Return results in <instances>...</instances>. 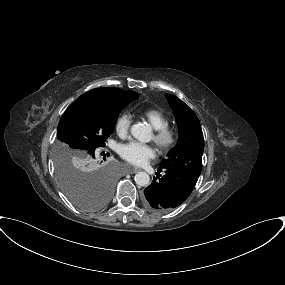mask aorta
I'll return each mask as SVG.
<instances>
[{"mask_svg": "<svg viewBox=\"0 0 285 285\" xmlns=\"http://www.w3.org/2000/svg\"><path fill=\"white\" fill-rule=\"evenodd\" d=\"M131 134L141 142H149L151 139V128L142 123L134 124L131 127ZM149 181L150 176L146 172H138L135 175V182L139 186H146L149 184Z\"/></svg>", "mask_w": 285, "mask_h": 285, "instance_id": "762f6f07", "label": "aorta"}]
</instances>
